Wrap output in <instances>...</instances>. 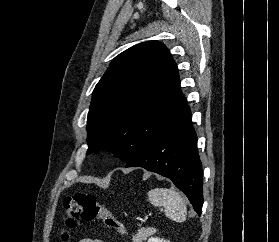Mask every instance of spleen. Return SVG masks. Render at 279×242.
Returning <instances> with one entry per match:
<instances>
[{
  "instance_id": "spleen-1",
  "label": "spleen",
  "mask_w": 279,
  "mask_h": 242,
  "mask_svg": "<svg viewBox=\"0 0 279 242\" xmlns=\"http://www.w3.org/2000/svg\"><path fill=\"white\" fill-rule=\"evenodd\" d=\"M148 201L159 207H164L168 218L176 222L186 220L187 208L182 196L173 189L155 188L148 192Z\"/></svg>"
}]
</instances>
